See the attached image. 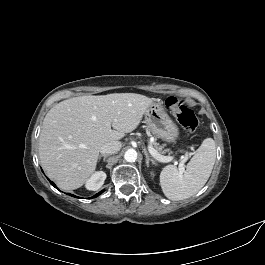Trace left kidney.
<instances>
[{
	"label": "left kidney",
	"mask_w": 265,
	"mask_h": 265,
	"mask_svg": "<svg viewBox=\"0 0 265 265\" xmlns=\"http://www.w3.org/2000/svg\"><path fill=\"white\" fill-rule=\"evenodd\" d=\"M151 176L154 177V173L153 172H151Z\"/></svg>",
	"instance_id": "left-kidney-1"
}]
</instances>
